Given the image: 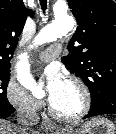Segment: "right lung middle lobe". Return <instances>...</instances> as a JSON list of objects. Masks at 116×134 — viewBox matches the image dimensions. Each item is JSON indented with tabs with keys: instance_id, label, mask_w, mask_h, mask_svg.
<instances>
[{
	"instance_id": "right-lung-middle-lobe-1",
	"label": "right lung middle lobe",
	"mask_w": 116,
	"mask_h": 134,
	"mask_svg": "<svg viewBox=\"0 0 116 134\" xmlns=\"http://www.w3.org/2000/svg\"><path fill=\"white\" fill-rule=\"evenodd\" d=\"M10 77V68L0 70V114L13 109V106L9 103L6 91Z\"/></svg>"
}]
</instances>
